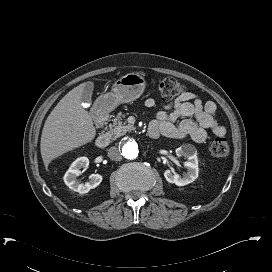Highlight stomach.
<instances>
[{
  "label": "stomach",
  "mask_w": 272,
  "mask_h": 272,
  "mask_svg": "<svg viewBox=\"0 0 272 272\" xmlns=\"http://www.w3.org/2000/svg\"><path fill=\"white\" fill-rule=\"evenodd\" d=\"M145 88V78L139 73H129L118 79L112 92L100 97L107 111L114 110L121 103H129L141 96Z\"/></svg>",
  "instance_id": "stomach-1"
}]
</instances>
